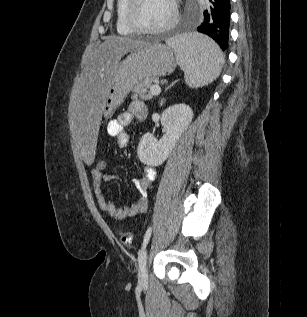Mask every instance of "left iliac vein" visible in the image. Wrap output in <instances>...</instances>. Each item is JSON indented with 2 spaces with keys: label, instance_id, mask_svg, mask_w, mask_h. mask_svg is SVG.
Instances as JSON below:
<instances>
[{
  "label": "left iliac vein",
  "instance_id": "left-iliac-vein-1",
  "mask_svg": "<svg viewBox=\"0 0 307 317\" xmlns=\"http://www.w3.org/2000/svg\"><path fill=\"white\" fill-rule=\"evenodd\" d=\"M138 283H139V286L141 287H145L148 285L146 250H143L139 255Z\"/></svg>",
  "mask_w": 307,
  "mask_h": 317
}]
</instances>
